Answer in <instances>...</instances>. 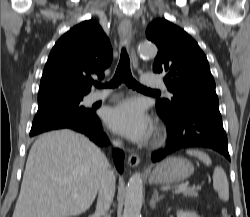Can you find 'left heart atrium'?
Returning a JSON list of instances; mask_svg holds the SVG:
<instances>
[{"instance_id":"39dd6f15","label":"left heart atrium","mask_w":250,"mask_h":217,"mask_svg":"<svg viewBox=\"0 0 250 217\" xmlns=\"http://www.w3.org/2000/svg\"><path fill=\"white\" fill-rule=\"evenodd\" d=\"M105 121L114 132L134 142L147 141L153 131L151 119L135 99H126L108 108Z\"/></svg>"}]
</instances>
